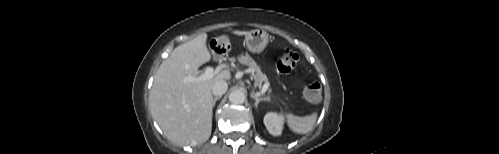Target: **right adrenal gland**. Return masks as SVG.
I'll return each instance as SVG.
<instances>
[{
  "instance_id": "1",
  "label": "right adrenal gland",
  "mask_w": 499,
  "mask_h": 154,
  "mask_svg": "<svg viewBox=\"0 0 499 154\" xmlns=\"http://www.w3.org/2000/svg\"><path fill=\"white\" fill-rule=\"evenodd\" d=\"M221 98V96H217L213 99V106L216 104V101L219 100Z\"/></svg>"
}]
</instances>
